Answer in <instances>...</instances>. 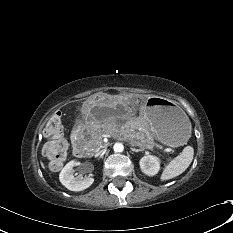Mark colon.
Returning <instances> with one entry per match:
<instances>
[{
    "instance_id": "5ec220e1",
    "label": "colon",
    "mask_w": 233,
    "mask_h": 233,
    "mask_svg": "<svg viewBox=\"0 0 233 233\" xmlns=\"http://www.w3.org/2000/svg\"><path fill=\"white\" fill-rule=\"evenodd\" d=\"M44 133L48 140L43 147V152L49 159L50 166L59 168L63 165L67 154V143L62 137L60 114L56 113L49 119Z\"/></svg>"
}]
</instances>
